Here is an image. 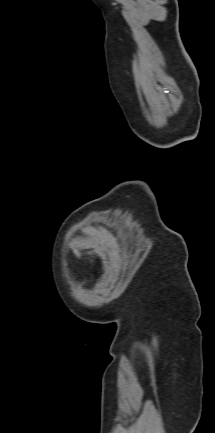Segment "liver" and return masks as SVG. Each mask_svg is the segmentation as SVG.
Wrapping results in <instances>:
<instances>
[{"label":"liver","mask_w":215,"mask_h":433,"mask_svg":"<svg viewBox=\"0 0 215 433\" xmlns=\"http://www.w3.org/2000/svg\"><path fill=\"white\" fill-rule=\"evenodd\" d=\"M74 253H75V255H76L77 257L80 256V253H79L77 250H74Z\"/></svg>","instance_id":"1"}]
</instances>
